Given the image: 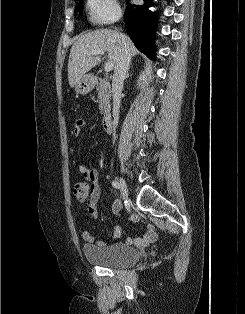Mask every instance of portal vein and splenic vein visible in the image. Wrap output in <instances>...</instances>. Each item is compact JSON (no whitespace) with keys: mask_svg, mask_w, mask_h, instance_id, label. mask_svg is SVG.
<instances>
[{"mask_svg":"<svg viewBox=\"0 0 245 314\" xmlns=\"http://www.w3.org/2000/svg\"><path fill=\"white\" fill-rule=\"evenodd\" d=\"M88 55H104V51L94 50V51L89 52ZM113 67H114V63L111 61H108L107 63H105L104 70L105 72H110L113 69Z\"/></svg>","mask_w":245,"mask_h":314,"instance_id":"portal-vein-and-splenic-vein-1","label":"portal vein and splenic vein"}]
</instances>
